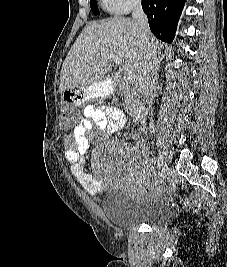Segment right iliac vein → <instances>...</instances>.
I'll return each mask as SVG.
<instances>
[{
    "label": "right iliac vein",
    "instance_id": "1",
    "mask_svg": "<svg viewBox=\"0 0 227 267\" xmlns=\"http://www.w3.org/2000/svg\"><path fill=\"white\" fill-rule=\"evenodd\" d=\"M158 166L160 169L159 182H163L165 180L167 172H168V165H167L164 157L161 154L159 156Z\"/></svg>",
    "mask_w": 227,
    "mask_h": 267
}]
</instances>
